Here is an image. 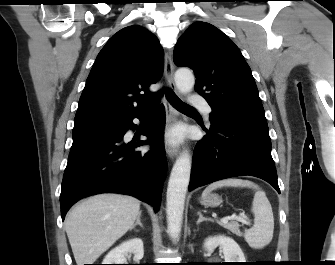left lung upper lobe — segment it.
<instances>
[{"label": "left lung upper lobe", "mask_w": 335, "mask_h": 265, "mask_svg": "<svg viewBox=\"0 0 335 265\" xmlns=\"http://www.w3.org/2000/svg\"><path fill=\"white\" fill-rule=\"evenodd\" d=\"M173 59L194 71L195 91L212 108L210 121L221 119L269 136L250 67L227 35L209 23L195 22L177 41Z\"/></svg>", "instance_id": "obj_1"}]
</instances>
